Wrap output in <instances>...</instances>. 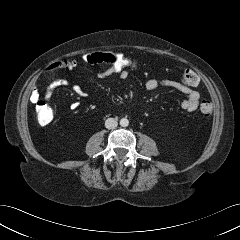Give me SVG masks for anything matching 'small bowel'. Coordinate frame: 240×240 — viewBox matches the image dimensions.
Returning <instances> with one entry per match:
<instances>
[{
	"instance_id": "obj_1",
	"label": "small bowel",
	"mask_w": 240,
	"mask_h": 240,
	"mask_svg": "<svg viewBox=\"0 0 240 240\" xmlns=\"http://www.w3.org/2000/svg\"><path fill=\"white\" fill-rule=\"evenodd\" d=\"M78 66V62L75 59H66V60H58L53 62L49 70L50 71H55V70H65V71H71L75 69ZM112 74H119L121 79H126L128 77V73L125 71L122 72H115L110 68L109 66H104V68L99 72V76L101 78L107 77ZM69 81L64 78H58L55 81H53L51 84L47 86L43 93V97L48 100L51 98L53 92L55 89L58 87H65L68 86ZM145 87L149 91H154L157 90L158 88H171V89H176L184 94H186V98L180 103V108L184 112H192L195 111L200 103V95L199 93L193 89L192 87H186L181 84L180 81L174 80V79H165L162 81H158L154 78L148 79L145 83ZM73 91L81 96V97H86L85 91L79 86V85H73L72 87ZM30 99L33 103H36L40 99V93L37 89H34L31 93ZM79 103L78 102H73L71 103L70 107L71 109H76L78 107Z\"/></svg>"
}]
</instances>
